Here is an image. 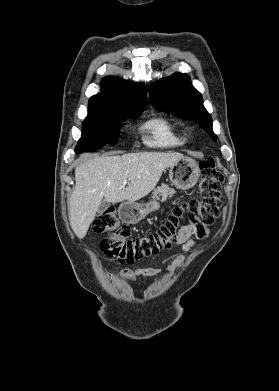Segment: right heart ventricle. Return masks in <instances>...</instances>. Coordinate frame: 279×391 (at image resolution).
Masks as SVG:
<instances>
[{"instance_id":"right-heart-ventricle-1","label":"right heart ventricle","mask_w":279,"mask_h":391,"mask_svg":"<svg viewBox=\"0 0 279 391\" xmlns=\"http://www.w3.org/2000/svg\"><path fill=\"white\" fill-rule=\"evenodd\" d=\"M143 129L148 134L145 141L150 146L171 148L184 143L178 127L166 118H153L144 124Z\"/></svg>"}]
</instances>
